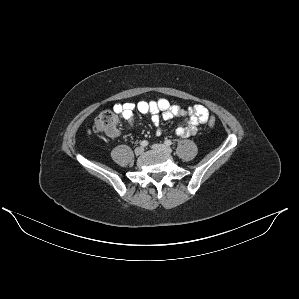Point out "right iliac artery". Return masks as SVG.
<instances>
[{
  "label": "right iliac artery",
  "instance_id": "obj_1",
  "mask_svg": "<svg viewBox=\"0 0 299 299\" xmlns=\"http://www.w3.org/2000/svg\"><path fill=\"white\" fill-rule=\"evenodd\" d=\"M140 145H141L142 147H146V146L148 145V141L143 140V141H141Z\"/></svg>",
  "mask_w": 299,
  "mask_h": 299
}]
</instances>
